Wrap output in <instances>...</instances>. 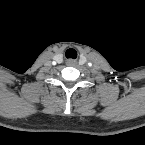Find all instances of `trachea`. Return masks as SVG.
<instances>
[{"mask_svg": "<svg viewBox=\"0 0 145 145\" xmlns=\"http://www.w3.org/2000/svg\"><path fill=\"white\" fill-rule=\"evenodd\" d=\"M65 56L67 58H72V59H76L77 57V52L73 49V48H70L66 51L65 53Z\"/></svg>", "mask_w": 145, "mask_h": 145, "instance_id": "1", "label": "trachea"}]
</instances>
